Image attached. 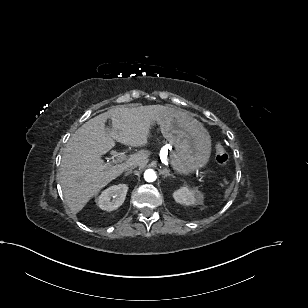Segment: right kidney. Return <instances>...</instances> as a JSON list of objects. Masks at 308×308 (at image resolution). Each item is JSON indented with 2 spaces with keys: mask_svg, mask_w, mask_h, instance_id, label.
<instances>
[{
  "mask_svg": "<svg viewBox=\"0 0 308 308\" xmlns=\"http://www.w3.org/2000/svg\"><path fill=\"white\" fill-rule=\"evenodd\" d=\"M128 186L118 184L104 190L98 198V206L105 211H113L120 207L126 198ZM114 198L111 200V198Z\"/></svg>",
  "mask_w": 308,
  "mask_h": 308,
  "instance_id": "right-kidney-1",
  "label": "right kidney"
}]
</instances>
